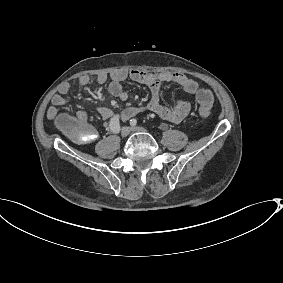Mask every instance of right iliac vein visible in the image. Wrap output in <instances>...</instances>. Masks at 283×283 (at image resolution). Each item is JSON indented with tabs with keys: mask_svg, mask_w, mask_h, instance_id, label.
I'll list each match as a JSON object with an SVG mask.
<instances>
[{
	"mask_svg": "<svg viewBox=\"0 0 283 283\" xmlns=\"http://www.w3.org/2000/svg\"><path fill=\"white\" fill-rule=\"evenodd\" d=\"M129 134H130V128L127 127V126H124V127L121 129V136H122V137H127Z\"/></svg>",
	"mask_w": 283,
	"mask_h": 283,
	"instance_id": "right-iliac-vein-1",
	"label": "right iliac vein"
}]
</instances>
